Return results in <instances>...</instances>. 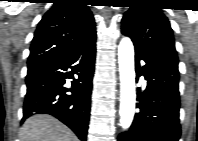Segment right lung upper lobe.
I'll use <instances>...</instances> for the list:
<instances>
[{"instance_id":"obj_1","label":"right lung upper lobe","mask_w":198,"mask_h":141,"mask_svg":"<svg viewBox=\"0 0 198 141\" xmlns=\"http://www.w3.org/2000/svg\"><path fill=\"white\" fill-rule=\"evenodd\" d=\"M38 24L28 67L67 53L95 34L93 15L84 0H57Z\"/></svg>"}]
</instances>
